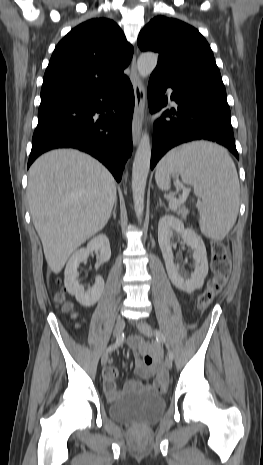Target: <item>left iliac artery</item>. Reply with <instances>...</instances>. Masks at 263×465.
Here are the masks:
<instances>
[{
	"label": "left iliac artery",
	"instance_id": "left-iliac-artery-1",
	"mask_svg": "<svg viewBox=\"0 0 263 465\" xmlns=\"http://www.w3.org/2000/svg\"><path fill=\"white\" fill-rule=\"evenodd\" d=\"M155 336H156V340L157 342H163L166 344L167 348H168V356L169 358H171L173 360L174 358V354L172 352V350L169 348V345L167 343V340H166V337L165 335L163 334V332H161L160 330H155Z\"/></svg>",
	"mask_w": 263,
	"mask_h": 465
}]
</instances>
